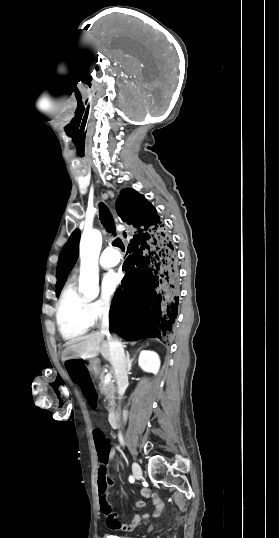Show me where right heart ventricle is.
Listing matches in <instances>:
<instances>
[{
	"instance_id": "1",
	"label": "right heart ventricle",
	"mask_w": 279,
	"mask_h": 538,
	"mask_svg": "<svg viewBox=\"0 0 279 538\" xmlns=\"http://www.w3.org/2000/svg\"><path fill=\"white\" fill-rule=\"evenodd\" d=\"M97 233L92 228H85L82 238L86 234ZM92 300L82 294L75 276L66 283L56 304V322L58 330L66 340H72L85 334L95 323L91 311Z\"/></svg>"
}]
</instances>
